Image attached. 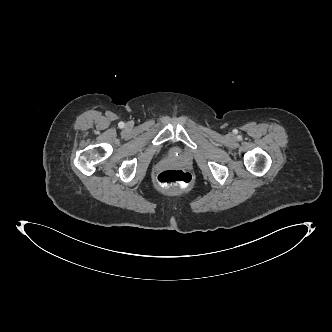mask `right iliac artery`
<instances>
[{
    "mask_svg": "<svg viewBox=\"0 0 332 332\" xmlns=\"http://www.w3.org/2000/svg\"><path fill=\"white\" fill-rule=\"evenodd\" d=\"M119 127H120V128L124 127V123H123V122H120V123H119Z\"/></svg>",
    "mask_w": 332,
    "mask_h": 332,
    "instance_id": "right-iliac-artery-1",
    "label": "right iliac artery"
}]
</instances>
